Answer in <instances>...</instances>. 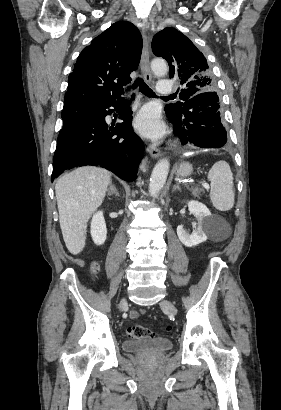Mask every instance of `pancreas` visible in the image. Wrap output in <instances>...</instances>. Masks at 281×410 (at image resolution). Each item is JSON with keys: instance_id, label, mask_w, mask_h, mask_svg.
Wrapping results in <instances>:
<instances>
[{"instance_id": "1", "label": "pancreas", "mask_w": 281, "mask_h": 410, "mask_svg": "<svg viewBox=\"0 0 281 410\" xmlns=\"http://www.w3.org/2000/svg\"><path fill=\"white\" fill-rule=\"evenodd\" d=\"M194 197H199L203 193V189L197 188V187H192L189 189Z\"/></svg>"}]
</instances>
